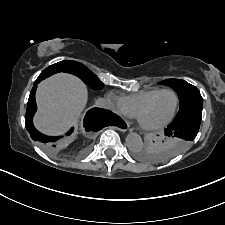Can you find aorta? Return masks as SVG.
<instances>
[{"label":"aorta","instance_id":"762f6f07","mask_svg":"<svg viewBox=\"0 0 225 225\" xmlns=\"http://www.w3.org/2000/svg\"><path fill=\"white\" fill-rule=\"evenodd\" d=\"M126 144L129 150L136 152L139 151L143 146L142 138L136 134L131 133L126 138Z\"/></svg>","mask_w":225,"mask_h":225}]
</instances>
